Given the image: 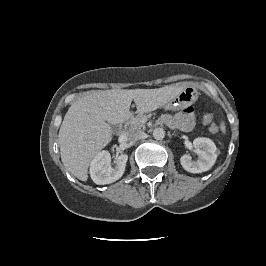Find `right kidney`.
Instances as JSON below:
<instances>
[{
  "instance_id": "ca27d5eb",
  "label": "right kidney",
  "mask_w": 266,
  "mask_h": 266,
  "mask_svg": "<svg viewBox=\"0 0 266 266\" xmlns=\"http://www.w3.org/2000/svg\"><path fill=\"white\" fill-rule=\"evenodd\" d=\"M128 156L122 154L116 159L115 168L111 167V156L108 151L99 152L90 164V176L98 185L110 184L122 177Z\"/></svg>"
}]
</instances>
